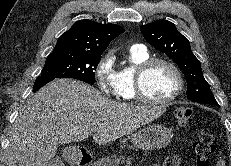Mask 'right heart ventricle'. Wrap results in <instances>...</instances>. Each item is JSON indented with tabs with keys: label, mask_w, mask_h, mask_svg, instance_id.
Returning a JSON list of instances; mask_svg holds the SVG:
<instances>
[{
	"label": "right heart ventricle",
	"mask_w": 231,
	"mask_h": 166,
	"mask_svg": "<svg viewBox=\"0 0 231 166\" xmlns=\"http://www.w3.org/2000/svg\"><path fill=\"white\" fill-rule=\"evenodd\" d=\"M149 59V54L146 50L131 47L128 51L129 65L123 66L118 71L119 80V96L122 100H135L134 91V75L137 66Z\"/></svg>",
	"instance_id": "e07e8e85"
}]
</instances>
